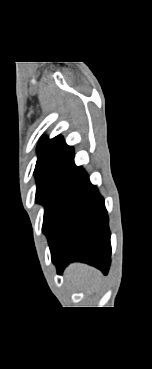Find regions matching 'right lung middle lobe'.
<instances>
[{"label": "right lung middle lobe", "mask_w": 152, "mask_h": 369, "mask_svg": "<svg viewBox=\"0 0 152 369\" xmlns=\"http://www.w3.org/2000/svg\"><path fill=\"white\" fill-rule=\"evenodd\" d=\"M81 167L74 164L54 165L35 169L37 181L35 201L44 205L43 232L48 235L59 204Z\"/></svg>", "instance_id": "dd1d6c3e"}]
</instances>
